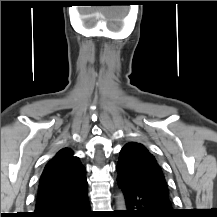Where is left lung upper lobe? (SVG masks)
I'll return each instance as SVG.
<instances>
[{"instance_id": "1", "label": "left lung upper lobe", "mask_w": 217, "mask_h": 217, "mask_svg": "<svg viewBox=\"0 0 217 217\" xmlns=\"http://www.w3.org/2000/svg\"><path fill=\"white\" fill-rule=\"evenodd\" d=\"M116 170L132 186L169 195L162 168L142 144L127 143L120 152Z\"/></svg>"}]
</instances>
